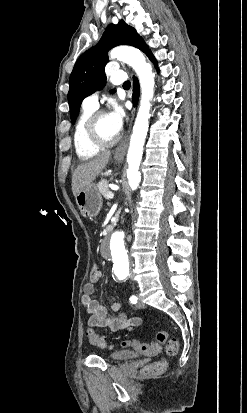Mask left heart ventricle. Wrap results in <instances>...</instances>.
Wrapping results in <instances>:
<instances>
[{"label": "left heart ventricle", "mask_w": 247, "mask_h": 413, "mask_svg": "<svg viewBox=\"0 0 247 413\" xmlns=\"http://www.w3.org/2000/svg\"><path fill=\"white\" fill-rule=\"evenodd\" d=\"M98 130L100 136L105 140H112L116 137L115 133L111 130V128L106 125L104 118H100Z\"/></svg>", "instance_id": "1"}]
</instances>
